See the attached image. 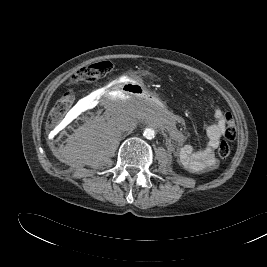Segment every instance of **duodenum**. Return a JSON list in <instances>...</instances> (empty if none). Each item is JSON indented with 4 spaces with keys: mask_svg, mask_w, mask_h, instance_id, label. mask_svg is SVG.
<instances>
[{
    "mask_svg": "<svg viewBox=\"0 0 267 267\" xmlns=\"http://www.w3.org/2000/svg\"><path fill=\"white\" fill-rule=\"evenodd\" d=\"M112 91L114 93H132L135 96H142L155 109L167 110L166 101L162 96H159L154 90L147 89L142 84L136 83L133 80H121L118 83H114L112 85Z\"/></svg>",
    "mask_w": 267,
    "mask_h": 267,
    "instance_id": "obj_1",
    "label": "duodenum"
}]
</instances>
